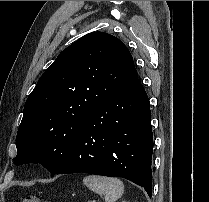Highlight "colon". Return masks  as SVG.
<instances>
[{
	"mask_svg": "<svg viewBox=\"0 0 209 202\" xmlns=\"http://www.w3.org/2000/svg\"><path fill=\"white\" fill-rule=\"evenodd\" d=\"M22 202H51V201L47 199H40L35 196H29V197L24 198Z\"/></svg>",
	"mask_w": 209,
	"mask_h": 202,
	"instance_id": "5ec220e1",
	"label": "colon"
}]
</instances>
